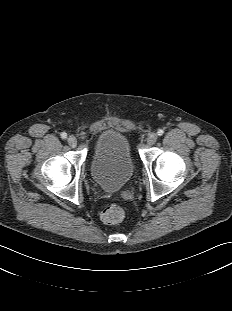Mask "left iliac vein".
Listing matches in <instances>:
<instances>
[{"label":"left iliac vein","instance_id":"4c4485c4","mask_svg":"<svg viewBox=\"0 0 232 311\" xmlns=\"http://www.w3.org/2000/svg\"><path fill=\"white\" fill-rule=\"evenodd\" d=\"M157 141V135L155 133H150L147 137V144L152 146Z\"/></svg>","mask_w":232,"mask_h":311}]
</instances>
